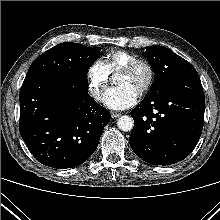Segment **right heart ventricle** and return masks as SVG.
<instances>
[{
    "label": "right heart ventricle",
    "mask_w": 220,
    "mask_h": 220,
    "mask_svg": "<svg viewBox=\"0 0 220 220\" xmlns=\"http://www.w3.org/2000/svg\"><path fill=\"white\" fill-rule=\"evenodd\" d=\"M137 59V56L125 50L109 52L105 57V63L110 73L120 71L124 66Z\"/></svg>",
    "instance_id": "right-heart-ventricle-1"
}]
</instances>
